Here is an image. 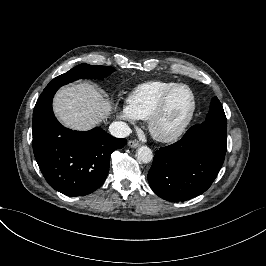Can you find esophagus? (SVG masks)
Wrapping results in <instances>:
<instances>
[{"instance_id":"obj_1","label":"esophagus","mask_w":266,"mask_h":266,"mask_svg":"<svg viewBox=\"0 0 266 266\" xmlns=\"http://www.w3.org/2000/svg\"><path fill=\"white\" fill-rule=\"evenodd\" d=\"M140 145V143L136 140H131L129 141V146L132 147V148H136Z\"/></svg>"}]
</instances>
